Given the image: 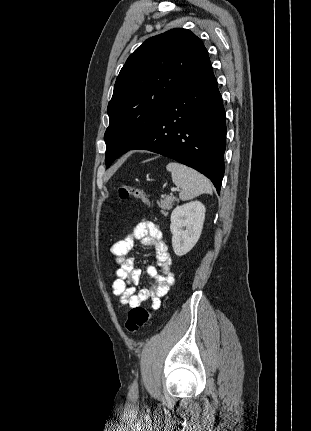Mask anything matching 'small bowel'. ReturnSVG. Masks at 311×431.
I'll use <instances>...</instances> for the list:
<instances>
[{
	"label": "small bowel",
	"mask_w": 311,
	"mask_h": 431,
	"mask_svg": "<svg viewBox=\"0 0 311 431\" xmlns=\"http://www.w3.org/2000/svg\"><path fill=\"white\" fill-rule=\"evenodd\" d=\"M136 241L153 250L157 264V267L150 265L147 268L148 274L154 279L153 283L139 291H136V285L140 280L141 270L135 267L134 258L129 255ZM111 253L118 265L113 282L114 295L119 297L122 304L131 308L151 300L152 308L158 309L160 298L168 292L174 282L171 256L159 224L152 220L142 219L130 233L113 243Z\"/></svg>",
	"instance_id": "small-bowel-1"
}]
</instances>
